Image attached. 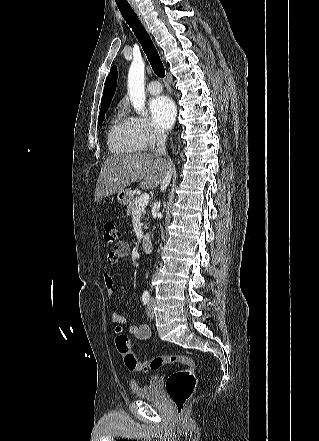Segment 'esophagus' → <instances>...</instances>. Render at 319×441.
<instances>
[{"label": "esophagus", "instance_id": "obj_1", "mask_svg": "<svg viewBox=\"0 0 319 441\" xmlns=\"http://www.w3.org/2000/svg\"><path fill=\"white\" fill-rule=\"evenodd\" d=\"M133 10L136 13V15L138 16L139 20L141 21V23L143 24V26L147 29V25L146 22L144 20L143 14L141 13V11L139 10V8L137 6H133ZM148 30V29H147Z\"/></svg>", "mask_w": 319, "mask_h": 441}]
</instances>
